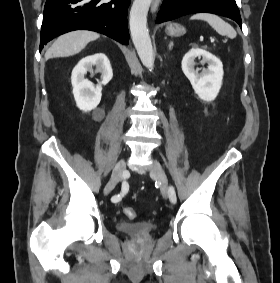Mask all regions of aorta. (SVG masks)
<instances>
[{
    "mask_svg": "<svg viewBox=\"0 0 280 283\" xmlns=\"http://www.w3.org/2000/svg\"><path fill=\"white\" fill-rule=\"evenodd\" d=\"M152 0H134L130 11V32L132 41L143 65L152 70L154 53L147 28V13Z\"/></svg>",
    "mask_w": 280,
    "mask_h": 283,
    "instance_id": "aorta-1",
    "label": "aorta"
}]
</instances>
